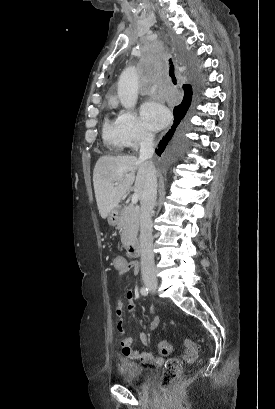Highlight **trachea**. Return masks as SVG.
<instances>
[{
	"instance_id": "obj_1",
	"label": "trachea",
	"mask_w": 275,
	"mask_h": 409,
	"mask_svg": "<svg viewBox=\"0 0 275 409\" xmlns=\"http://www.w3.org/2000/svg\"><path fill=\"white\" fill-rule=\"evenodd\" d=\"M169 75L172 78V82L176 85L175 70H174V66L172 64L170 65Z\"/></svg>"
}]
</instances>
